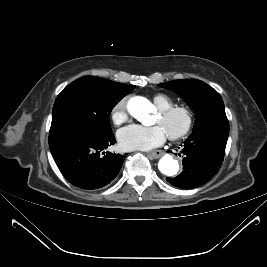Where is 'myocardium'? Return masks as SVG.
Masks as SVG:
<instances>
[{"instance_id":"f54148a6","label":"myocardium","mask_w":267,"mask_h":267,"mask_svg":"<svg viewBox=\"0 0 267 267\" xmlns=\"http://www.w3.org/2000/svg\"><path fill=\"white\" fill-rule=\"evenodd\" d=\"M162 119L167 120L175 115H181L184 119L183 127L173 133L167 134L170 140L177 141L185 138L192 131L194 125V117L192 111L185 106H171L167 109L160 110Z\"/></svg>"}]
</instances>
